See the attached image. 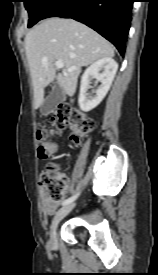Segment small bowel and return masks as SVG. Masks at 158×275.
Returning a JSON list of instances; mask_svg holds the SVG:
<instances>
[{
  "instance_id": "c3829d8e",
  "label": "small bowel",
  "mask_w": 158,
  "mask_h": 275,
  "mask_svg": "<svg viewBox=\"0 0 158 275\" xmlns=\"http://www.w3.org/2000/svg\"><path fill=\"white\" fill-rule=\"evenodd\" d=\"M40 199L42 210L47 215H52L57 209L60 202L51 201L48 196L44 193V191L40 192Z\"/></svg>"
}]
</instances>
